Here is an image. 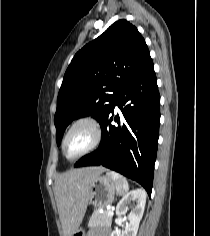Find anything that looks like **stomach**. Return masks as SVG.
Returning <instances> with one entry per match:
<instances>
[{"label": "stomach", "instance_id": "0dacf381", "mask_svg": "<svg viewBox=\"0 0 210 236\" xmlns=\"http://www.w3.org/2000/svg\"><path fill=\"white\" fill-rule=\"evenodd\" d=\"M117 191V183L109 175L98 176L91 183L88 193V203L96 208L110 205ZM72 236H85L82 229H78Z\"/></svg>", "mask_w": 210, "mask_h": 236}]
</instances>
